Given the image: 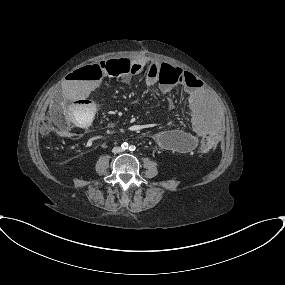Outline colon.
<instances>
[{
	"label": "colon",
	"mask_w": 285,
	"mask_h": 285,
	"mask_svg": "<svg viewBox=\"0 0 285 285\" xmlns=\"http://www.w3.org/2000/svg\"><path fill=\"white\" fill-rule=\"evenodd\" d=\"M138 72V67L127 59L102 61L98 64L87 66L80 69L75 75L80 81L91 80L95 78H102L103 76L118 77L123 80L131 79L135 73ZM151 75H155L158 81L165 85H179L183 82V71L179 68L166 67L151 71ZM93 109L91 108L90 115L87 119L79 116L77 111L69 109L60 101H54L49 106L47 114L40 122L42 133L66 132L70 127L69 115L78 120L80 127H88L92 123ZM218 145V140L214 135L208 134L202 138L201 150L210 152Z\"/></svg>",
	"instance_id": "obj_1"
}]
</instances>
